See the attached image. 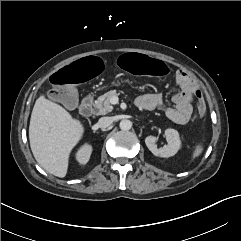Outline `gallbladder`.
<instances>
[{
    "label": "gallbladder",
    "mask_w": 241,
    "mask_h": 241,
    "mask_svg": "<svg viewBox=\"0 0 241 241\" xmlns=\"http://www.w3.org/2000/svg\"><path fill=\"white\" fill-rule=\"evenodd\" d=\"M69 99L71 100V109H74L78 105V94L75 88L70 89ZM69 107V105H67Z\"/></svg>",
    "instance_id": "obj_1"
}]
</instances>
